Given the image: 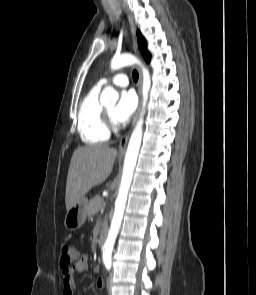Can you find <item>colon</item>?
<instances>
[{"mask_svg": "<svg viewBox=\"0 0 256 295\" xmlns=\"http://www.w3.org/2000/svg\"><path fill=\"white\" fill-rule=\"evenodd\" d=\"M79 260V252L70 242H64L61 246L60 265L63 269L73 268Z\"/></svg>", "mask_w": 256, "mask_h": 295, "instance_id": "1", "label": "colon"}]
</instances>
